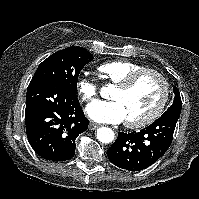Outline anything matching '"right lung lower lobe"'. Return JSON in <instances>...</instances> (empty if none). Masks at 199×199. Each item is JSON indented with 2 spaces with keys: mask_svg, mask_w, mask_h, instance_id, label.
Returning a JSON list of instances; mask_svg holds the SVG:
<instances>
[{
  "mask_svg": "<svg viewBox=\"0 0 199 199\" xmlns=\"http://www.w3.org/2000/svg\"><path fill=\"white\" fill-rule=\"evenodd\" d=\"M25 124L34 151L51 161H65L75 154L76 137L87 130L76 94L55 80L30 82L26 96Z\"/></svg>",
  "mask_w": 199,
  "mask_h": 199,
  "instance_id": "98d812e1",
  "label": "right lung lower lobe"
}]
</instances>
